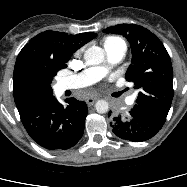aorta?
I'll list each match as a JSON object with an SVG mask.
<instances>
[{
  "mask_svg": "<svg viewBox=\"0 0 187 187\" xmlns=\"http://www.w3.org/2000/svg\"><path fill=\"white\" fill-rule=\"evenodd\" d=\"M84 59L88 65H99L105 60L104 50L98 46H92L84 52ZM98 113L104 114L109 109V104L105 100H98L95 104Z\"/></svg>",
  "mask_w": 187,
  "mask_h": 187,
  "instance_id": "1",
  "label": "aorta"
}]
</instances>
